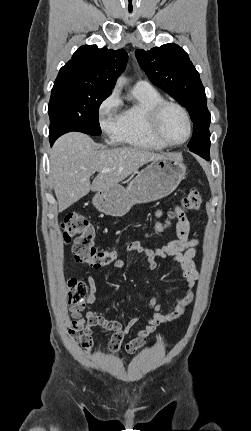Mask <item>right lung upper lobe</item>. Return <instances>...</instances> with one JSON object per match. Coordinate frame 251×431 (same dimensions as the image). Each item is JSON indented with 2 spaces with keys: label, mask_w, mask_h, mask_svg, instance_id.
<instances>
[{
  "label": "right lung upper lobe",
  "mask_w": 251,
  "mask_h": 431,
  "mask_svg": "<svg viewBox=\"0 0 251 431\" xmlns=\"http://www.w3.org/2000/svg\"><path fill=\"white\" fill-rule=\"evenodd\" d=\"M128 55L123 49L81 46L59 71L55 82L68 81L111 92L123 72Z\"/></svg>",
  "instance_id": "obj_1"
}]
</instances>
